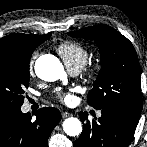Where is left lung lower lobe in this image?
<instances>
[{
	"instance_id": "left-lung-lower-lobe-1",
	"label": "left lung lower lobe",
	"mask_w": 147,
	"mask_h": 147,
	"mask_svg": "<svg viewBox=\"0 0 147 147\" xmlns=\"http://www.w3.org/2000/svg\"><path fill=\"white\" fill-rule=\"evenodd\" d=\"M102 116L92 123L86 112H80L83 131L74 147H128L133 139L138 120L117 109H101ZM84 121H86L84 123Z\"/></svg>"
}]
</instances>
